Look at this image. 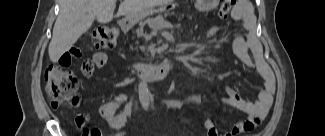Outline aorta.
Wrapping results in <instances>:
<instances>
[{
	"label": "aorta",
	"mask_w": 325,
	"mask_h": 136,
	"mask_svg": "<svg viewBox=\"0 0 325 136\" xmlns=\"http://www.w3.org/2000/svg\"><path fill=\"white\" fill-rule=\"evenodd\" d=\"M139 100L143 108H148L150 105V94L148 91L147 82L145 80L140 81L138 86Z\"/></svg>",
	"instance_id": "1"
}]
</instances>
